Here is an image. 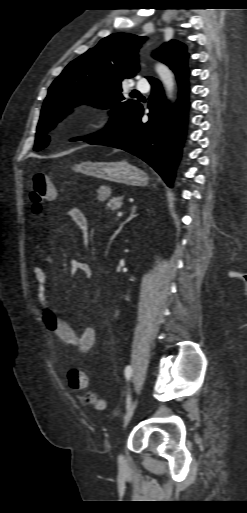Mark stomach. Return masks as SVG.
I'll return each mask as SVG.
<instances>
[{"instance_id":"0dacf381","label":"stomach","mask_w":247,"mask_h":513,"mask_svg":"<svg viewBox=\"0 0 247 513\" xmlns=\"http://www.w3.org/2000/svg\"><path fill=\"white\" fill-rule=\"evenodd\" d=\"M76 169L86 175L127 185H144L147 183L145 173L126 161L117 162H82Z\"/></svg>"}]
</instances>
